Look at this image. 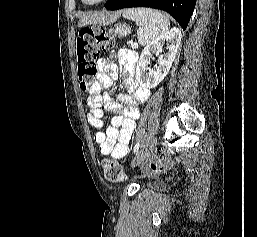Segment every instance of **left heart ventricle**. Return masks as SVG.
<instances>
[{"label":"left heart ventricle","instance_id":"b2bd125f","mask_svg":"<svg viewBox=\"0 0 257 237\" xmlns=\"http://www.w3.org/2000/svg\"><path fill=\"white\" fill-rule=\"evenodd\" d=\"M87 2H93V1H96V0H86Z\"/></svg>","mask_w":257,"mask_h":237}]
</instances>
